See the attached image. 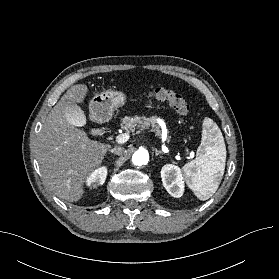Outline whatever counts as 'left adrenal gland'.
I'll list each match as a JSON object with an SVG mask.
<instances>
[{
    "instance_id": "a2214340",
    "label": "left adrenal gland",
    "mask_w": 279,
    "mask_h": 279,
    "mask_svg": "<svg viewBox=\"0 0 279 279\" xmlns=\"http://www.w3.org/2000/svg\"><path fill=\"white\" fill-rule=\"evenodd\" d=\"M159 154H163L162 151L155 149V156H158Z\"/></svg>"
}]
</instances>
